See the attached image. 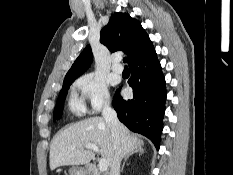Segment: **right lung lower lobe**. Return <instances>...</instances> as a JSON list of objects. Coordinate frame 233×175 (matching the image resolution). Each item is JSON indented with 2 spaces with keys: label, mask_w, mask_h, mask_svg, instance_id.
I'll list each match as a JSON object with an SVG mask.
<instances>
[{
  "label": "right lung lower lobe",
  "mask_w": 233,
  "mask_h": 175,
  "mask_svg": "<svg viewBox=\"0 0 233 175\" xmlns=\"http://www.w3.org/2000/svg\"><path fill=\"white\" fill-rule=\"evenodd\" d=\"M133 99L124 100L116 91L113 107L119 120L130 130L148 137L159 149L165 101L167 97L165 78L155 50L129 65Z\"/></svg>",
  "instance_id": "1"
}]
</instances>
